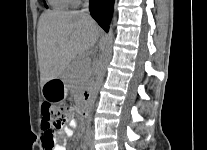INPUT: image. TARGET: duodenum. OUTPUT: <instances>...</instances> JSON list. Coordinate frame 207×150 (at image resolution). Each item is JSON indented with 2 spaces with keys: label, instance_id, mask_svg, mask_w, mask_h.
<instances>
[{
  "label": "duodenum",
  "instance_id": "410a0bca",
  "mask_svg": "<svg viewBox=\"0 0 207 150\" xmlns=\"http://www.w3.org/2000/svg\"><path fill=\"white\" fill-rule=\"evenodd\" d=\"M91 97H92V89L87 88L81 98V103L85 110H88L90 107Z\"/></svg>",
  "mask_w": 207,
  "mask_h": 150
}]
</instances>
